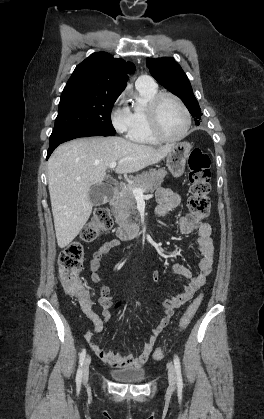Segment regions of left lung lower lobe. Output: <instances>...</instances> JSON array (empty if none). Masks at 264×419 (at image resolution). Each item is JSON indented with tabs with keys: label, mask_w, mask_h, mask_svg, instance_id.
<instances>
[{
	"label": "left lung lower lobe",
	"mask_w": 264,
	"mask_h": 419,
	"mask_svg": "<svg viewBox=\"0 0 264 419\" xmlns=\"http://www.w3.org/2000/svg\"><path fill=\"white\" fill-rule=\"evenodd\" d=\"M199 123H200L199 121H196V125H199Z\"/></svg>",
	"instance_id": "obj_1"
}]
</instances>
